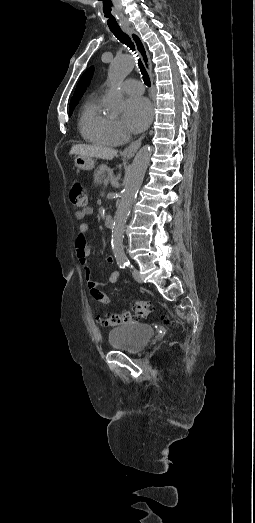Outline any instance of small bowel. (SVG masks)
Segmentation results:
<instances>
[{
    "mask_svg": "<svg viewBox=\"0 0 255 523\" xmlns=\"http://www.w3.org/2000/svg\"><path fill=\"white\" fill-rule=\"evenodd\" d=\"M93 210L92 208H86L81 211H77L75 216L78 220H83L85 217L92 215ZM89 230V225L86 222H83L79 225L78 228V235L75 242V253L76 256L80 262V264L84 267L85 273H86V281L88 286L91 288L92 286L98 287V284L93 280L90 269H89V256H90V248L87 241V233ZM105 260L112 264L114 262V258L111 256H107ZM120 272L118 270H114L111 272L108 282L109 284H114L117 282L119 278Z\"/></svg>",
    "mask_w": 255,
    "mask_h": 523,
    "instance_id": "c3829d8e",
    "label": "small bowel"
}]
</instances>
